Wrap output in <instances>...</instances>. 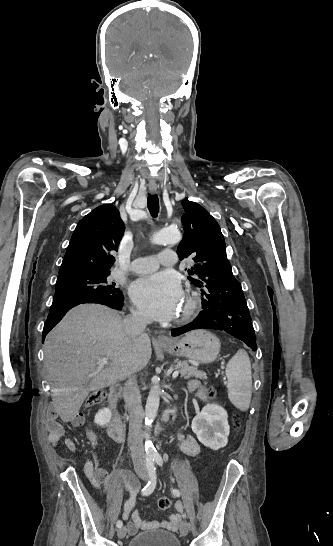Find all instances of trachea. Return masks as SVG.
<instances>
[{
	"label": "trachea",
	"instance_id": "3493384b",
	"mask_svg": "<svg viewBox=\"0 0 333 546\" xmlns=\"http://www.w3.org/2000/svg\"><path fill=\"white\" fill-rule=\"evenodd\" d=\"M147 206H148V210H149L151 216L154 217V218L157 217L158 212H159V199H158V196L149 194L148 198H147Z\"/></svg>",
	"mask_w": 333,
	"mask_h": 546
}]
</instances>
